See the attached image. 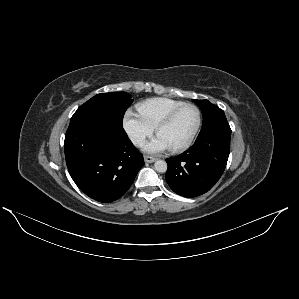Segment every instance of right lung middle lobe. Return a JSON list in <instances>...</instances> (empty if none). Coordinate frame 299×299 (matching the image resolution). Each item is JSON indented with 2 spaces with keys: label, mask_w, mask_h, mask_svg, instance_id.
Instances as JSON below:
<instances>
[{
  "label": "right lung middle lobe",
  "mask_w": 299,
  "mask_h": 299,
  "mask_svg": "<svg viewBox=\"0 0 299 299\" xmlns=\"http://www.w3.org/2000/svg\"><path fill=\"white\" fill-rule=\"evenodd\" d=\"M132 102L131 96L126 92L97 94L77 109L71 117L70 124L106 122L116 129L123 130V116Z\"/></svg>",
  "instance_id": "right-lung-middle-lobe-1"
}]
</instances>
